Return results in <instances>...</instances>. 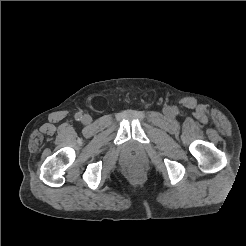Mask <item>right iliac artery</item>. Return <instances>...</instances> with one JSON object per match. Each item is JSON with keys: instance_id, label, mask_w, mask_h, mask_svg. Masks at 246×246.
Returning a JSON list of instances; mask_svg holds the SVG:
<instances>
[{"instance_id": "82829eb1", "label": "right iliac artery", "mask_w": 246, "mask_h": 246, "mask_svg": "<svg viewBox=\"0 0 246 246\" xmlns=\"http://www.w3.org/2000/svg\"><path fill=\"white\" fill-rule=\"evenodd\" d=\"M75 119L76 120H81L82 119V114L81 113H77L76 115H75Z\"/></svg>"}]
</instances>
